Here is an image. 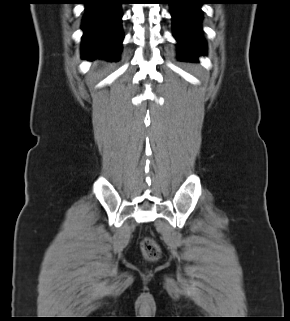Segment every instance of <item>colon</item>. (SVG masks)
Instances as JSON below:
<instances>
[{"label":"colon","mask_w":290,"mask_h":321,"mask_svg":"<svg viewBox=\"0 0 290 321\" xmlns=\"http://www.w3.org/2000/svg\"><path fill=\"white\" fill-rule=\"evenodd\" d=\"M141 248L144 255L150 260H155L160 255L159 247L152 239H144L141 243Z\"/></svg>","instance_id":"5ec220e1"}]
</instances>
